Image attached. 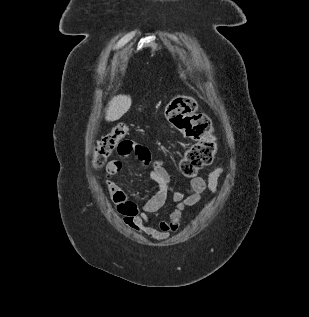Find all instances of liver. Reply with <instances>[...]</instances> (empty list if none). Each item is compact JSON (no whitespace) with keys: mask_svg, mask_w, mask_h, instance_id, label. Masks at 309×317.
Returning a JSON list of instances; mask_svg holds the SVG:
<instances>
[{"mask_svg":"<svg viewBox=\"0 0 309 317\" xmlns=\"http://www.w3.org/2000/svg\"><path fill=\"white\" fill-rule=\"evenodd\" d=\"M132 100L130 96L118 95L111 99L106 109V121H116L120 119L131 106Z\"/></svg>","mask_w":309,"mask_h":317,"instance_id":"6515ba94","label":"liver"}]
</instances>
